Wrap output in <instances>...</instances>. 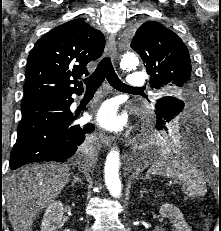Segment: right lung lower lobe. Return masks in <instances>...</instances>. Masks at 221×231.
<instances>
[{
    "mask_svg": "<svg viewBox=\"0 0 221 231\" xmlns=\"http://www.w3.org/2000/svg\"><path fill=\"white\" fill-rule=\"evenodd\" d=\"M71 95L44 98L21 107L22 120L10 154L12 170L38 161L65 162L84 146L86 134L94 127L71 125L75 119L69 108Z\"/></svg>",
    "mask_w": 221,
    "mask_h": 231,
    "instance_id": "obj_1",
    "label": "right lung lower lobe"
}]
</instances>
